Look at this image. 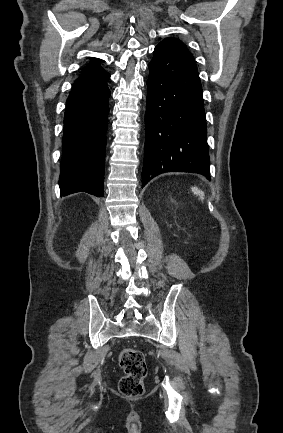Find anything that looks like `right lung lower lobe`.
<instances>
[{"instance_id": "obj_1", "label": "right lung lower lobe", "mask_w": 283, "mask_h": 433, "mask_svg": "<svg viewBox=\"0 0 283 433\" xmlns=\"http://www.w3.org/2000/svg\"><path fill=\"white\" fill-rule=\"evenodd\" d=\"M107 73L73 84L64 117L61 195L87 192L103 196L108 98Z\"/></svg>"}]
</instances>
